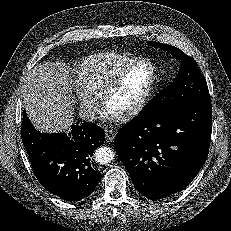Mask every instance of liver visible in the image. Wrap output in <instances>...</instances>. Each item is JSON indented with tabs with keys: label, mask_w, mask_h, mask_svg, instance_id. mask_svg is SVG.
Here are the masks:
<instances>
[{
	"label": "liver",
	"mask_w": 231,
	"mask_h": 231,
	"mask_svg": "<svg viewBox=\"0 0 231 231\" xmlns=\"http://www.w3.org/2000/svg\"><path fill=\"white\" fill-rule=\"evenodd\" d=\"M23 104L37 130L55 133L70 128L74 99L65 65L37 64L25 80Z\"/></svg>",
	"instance_id": "6515ba94"
}]
</instances>
